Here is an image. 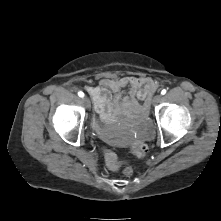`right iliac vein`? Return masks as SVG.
Returning <instances> with one entry per match:
<instances>
[{
    "instance_id": "obj_1",
    "label": "right iliac vein",
    "mask_w": 221,
    "mask_h": 221,
    "mask_svg": "<svg viewBox=\"0 0 221 221\" xmlns=\"http://www.w3.org/2000/svg\"><path fill=\"white\" fill-rule=\"evenodd\" d=\"M83 103H84V105H85L86 107H89L90 101H89V99H88L87 97H84V98H83Z\"/></svg>"
}]
</instances>
